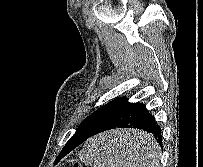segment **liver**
<instances>
[{"mask_svg": "<svg viewBox=\"0 0 203 167\" xmlns=\"http://www.w3.org/2000/svg\"><path fill=\"white\" fill-rule=\"evenodd\" d=\"M140 133L142 132L136 130H117L103 135L115 137V144H117V146L114 149L117 151L120 160L128 162V165H133V163H135V167H139L143 166L144 164L143 162H140L141 159L139 158L137 151H135L133 147H122V144H136V138Z\"/></svg>", "mask_w": 203, "mask_h": 167, "instance_id": "liver-1", "label": "liver"}]
</instances>
